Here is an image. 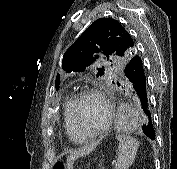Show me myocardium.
<instances>
[{"label":"myocardium","mask_w":177,"mask_h":169,"mask_svg":"<svg viewBox=\"0 0 177 169\" xmlns=\"http://www.w3.org/2000/svg\"><path fill=\"white\" fill-rule=\"evenodd\" d=\"M86 97L98 98L105 109L106 116H105L104 123L102 124V126L98 130H96L95 132H93L89 135L79 136L78 129H77V111H78L79 104ZM70 118H71V125L73 128V131L76 134V138L79 142H81V141L96 138V137L101 136L104 133H106L109 130L111 123H112L113 110H112V107L110 105L108 98L106 97V95L104 93H102L100 90H98L96 88H88L87 87V88H84L76 93V95L74 97V101L71 106Z\"/></svg>","instance_id":"myocardium-1"}]
</instances>
